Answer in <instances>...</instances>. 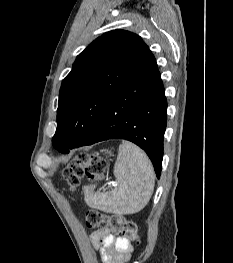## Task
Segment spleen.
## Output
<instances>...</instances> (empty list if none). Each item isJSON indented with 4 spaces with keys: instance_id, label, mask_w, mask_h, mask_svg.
<instances>
[{
    "instance_id": "3e777b00",
    "label": "spleen",
    "mask_w": 233,
    "mask_h": 263,
    "mask_svg": "<svg viewBox=\"0 0 233 263\" xmlns=\"http://www.w3.org/2000/svg\"><path fill=\"white\" fill-rule=\"evenodd\" d=\"M118 184L108 192H94V185L84 186V200L94 209L115 214H133L149 202L155 175L147 155L131 142L122 141L114 166Z\"/></svg>"
}]
</instances>
